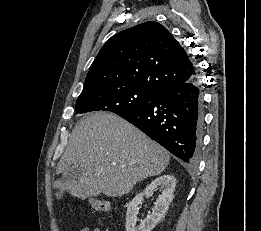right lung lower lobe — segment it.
I'll list each match as a JSON object with an SVG mask.
<instances>
[{
	"mask_svg": "<svg viewBox=\"0 0 261 231\" xmlns=\"http://www.w3.org/2000/svg\"><path fill=\"white\" fill-rule=\"evenodd\" d=\"M202 104L199 81L194 76L120 116L184 162L195 164L201 145Z\"/></svg>",
	"mask_w": 261,
	"mask_h": 231,
	"instance_id": "right-lung-lower-lobe-1",
	"label": "right lung lower lobe"
}]
</instances>
